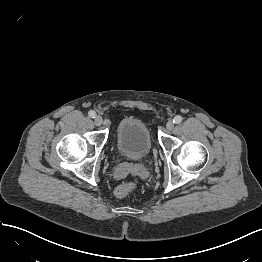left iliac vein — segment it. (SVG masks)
Wrapping results in <instances>:
<instances>
[{
  "instance_id": "1",
  "label": "left iliac vein",
  "mask_w": 262,
  "mask_h": 262,
  "mask_svg": "<svg viewBox=\"0 0 262 262\" xmlns=\"http://www.w3.org/2000/svg\"><path fill=\"white\" fill-rule=\"evenodd\" d=\"M173 127H174V123H173V121H171V120L168 121L167 124H166V128H167V130H172Z\"/></svg>"
}]
</instances>
